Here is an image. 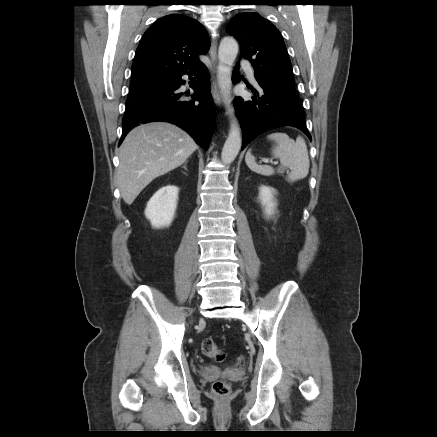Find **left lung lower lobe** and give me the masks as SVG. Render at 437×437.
<instances>
[{"label": "left lung lower lobe", "mask_w": 437, "mask_h": 437, "mask_svg": "<svg viewBox=\"0 0 437 437\" xmlns=\"http://www.w3.org/2000/svg\"><path fill=\"white\" fill-rule=\"evenodd\" d=\"M239 64L233 71L232 81L238 83ZM253 96L251 100L242 97L234 99L237 117L243 131L242 149L262 132L291 125L302 130L311 140L304 120L303 108L296 96H291L258 82L257 89L250 88Z\"/></svg>", "instance_id": "obj_1"}]
</instances>
